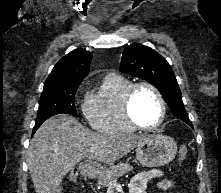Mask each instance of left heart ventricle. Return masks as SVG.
<instances>
[{
    "label": "left heart ventricle",
    "mask_w": 221,
    "mask_h": 193,
    "mask_svg": "<svg viewBox=\"0 0 221 193\" xmlns=\"http://www.w3.org/2000/svg\"><path fill=\"white\" fill-rule=\"evenodd\" d=\"M131 109L134 119L142 126L156 124L161 115V106L157 96L146 87L136 90Z\"/></svg>",
    "instance_id": "1"
}]
</instances>
